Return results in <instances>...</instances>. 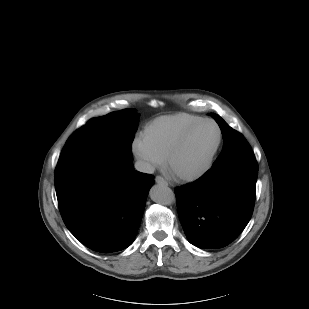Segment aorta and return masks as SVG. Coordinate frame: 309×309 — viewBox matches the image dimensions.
<instances>
[{
	"instance_id": "1",
	"label": "aorta",
	"mask_w": 309,
	"mask_h": 309,
	"mask_svg": "<svg viewBox=\"0 0 309 309\" xmlns=\"http://www.w3.org/2000/svg\"><path fill=\"white\" fill-rule=\"evenodd\" d=\"M149 194L152 201L161 205H171L175 202L174 192L165 184L154 185Z\"/></svg>"
}]
</instances>
